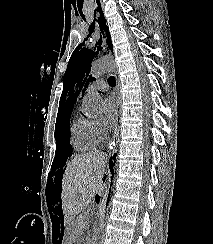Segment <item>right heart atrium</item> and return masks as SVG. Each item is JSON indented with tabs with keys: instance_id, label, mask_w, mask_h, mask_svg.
<instances>
[{
	"instance_id": "1",
	"label": "right heart atrium",
	"mask_w": 213,
	"mask_h": 244,
	"mask_svg": "<svg viewBox=\"0 0 213 244\" xmlns=\"http://www.w3.org/2000/svg\"><path fill=\"white\" fill-rule=\"evenodd\" d=\"M93 127H94L95 134L99 140L100 138L103 137L105 133L104 126L100 121H93Z\"/></svg>"
}]
</instances>
